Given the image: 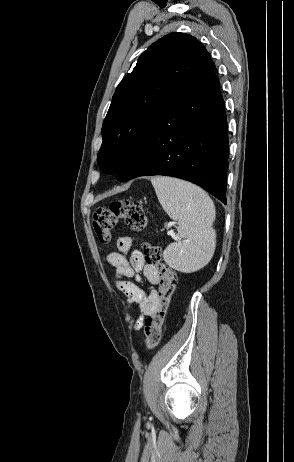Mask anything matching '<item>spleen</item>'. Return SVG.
<instances>
[{"instance_id":"1","label":"spleen","mask_w":294,"mask_h":462,"mask_svg":"<svg viewBox=\"0 0 294 462\" xmlns=\"http://www.w3.org/2000/svg\"><path fill=\"white\" fill-rule=\"evenodd\" d=\"M151 183L163 209L179 223L178 235L184 239L167 246L165 262L184 273L201 269L210 261L216 244L212 199L200 187L181 179L156 176Z\"/></svg>"}]
</instances>
